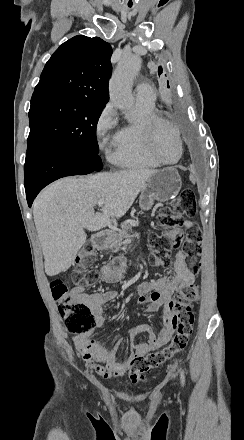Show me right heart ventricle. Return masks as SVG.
Here are the masks:
<instances>
[{
  "mask_svg": "<svg viewBox=\"0 0 244 440\" xmlns=\"http://www.w3.org/2000/svg\"><path fill=\"white\" fill-rule=\"evenodd\" d=\"M135 110L138 114L137 120L126 124L112 137L111 142L114 146L112 159L117 165L126 168H157L160 163L146 145L149 141L144 139L146 137L144 134L151 131L143 128L152 122L156 115L155 102L136 101ZM123 143L127 144V148L117 150L116 147Z\"/></svg>",
  "mask_w": 244,
  "mask_h": 440,
  "instance_id": "obj_1",
  "label": "right heart ventricle"
}]
</instances>
